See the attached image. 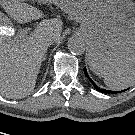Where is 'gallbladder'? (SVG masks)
<instances>
[{
  "label": "gallbladder",
  "instance_id": "obj_1",
  "mask_svg": "<svg viewBox=\"0 0 135 135\" xmlns=\"http://www.w3.org/2000/svg\"><path fill=\"white\" fill-rule=\"evenodd\" d=\"M0 25H8V19L5 14L0 11Z\"/></svg>",
  "mask_w": 135,
  "mask_h": 135
}]
</instances>
